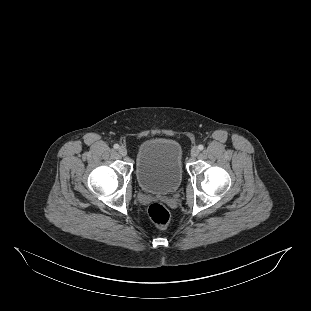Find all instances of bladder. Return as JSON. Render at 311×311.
Masks as SVG:
<instances>
[{
	"label": "bladder",
	"mask_w": 311,
	"mask_h": 311,
	"mask_svg": "<svg viewBox=\"0 0 311 311\" xmlns=\"http://www.w3.org/2000/svg\"><path fill=\"white\" fill-rule=\"evenodd\" d=\"M135 174L139 187L147 193L175 192L183 180L180 144L167 137L145 140L138 148Z\"/></svg>",
	"instance_id": "bladder-1"
}]
</instances>
